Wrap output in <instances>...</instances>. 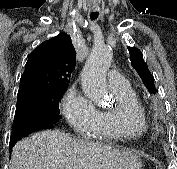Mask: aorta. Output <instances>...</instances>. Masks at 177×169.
<instances>
[{
	"instance_id": "aorta-1",
	"label": "aorta",
	"mask_w": 177,
	"mask_h": 169,
	"mask_svg": "<svg viewBox=\"0 0 177 169\" xmlns=\"http://www.w3.org/2000/svg\"><path fill=\"white\" fill-rule=\"evenodd\" d=\"M113 54L105 46H94L82 72V89L93 102L103 105L108 102L106 72Z\"/></svg>"
}]
</instances>
